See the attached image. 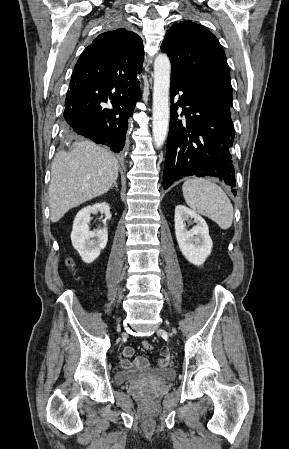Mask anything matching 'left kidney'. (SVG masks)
<instances>
[{
  "instance_id": "1",
  "label": "left kidney",
  "mask_w": 289,
  "mask_h": 449,
  "mask_svg": "<svg viewBox=\"0 0 289 449\" xmlns=\"http://www.w3.org/2000/svg\"><path fill=\"white\" fill-rule=\"evenodd\" d=\"M194 219L196 226L187 230L185 221ZM175 234L183 256L196 266L202 265L211 254L213 243L205 220L186 206L175 208Z\"/></svg>"
}]
</instances>
